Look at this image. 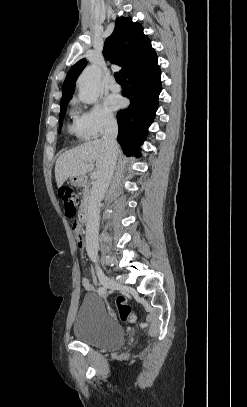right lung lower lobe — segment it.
Segmentation results:
<instances>
[{"instance_id":"1","label":"right lung lower lobe","mask_w":247,"mask_h":407,"mask_svg":"<svg viewBox=\"0 0 247 407\" xmlns=\"http://www.w3.org/2000/svg\"><path fill=\"white\" fill-rule=\"evenodd\" d=\"M160 76L157 56L130 69L122 76V94L130 100V105L118 112L117 140L123 151L130 155L140 154V146L146 139L147 129L155 117L161 92Z\"/></svg>"}]
</instances>
